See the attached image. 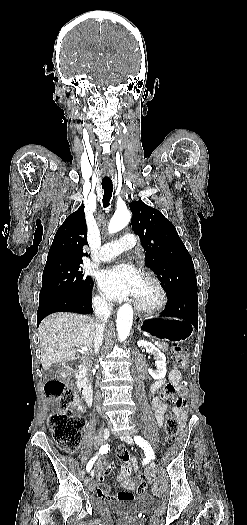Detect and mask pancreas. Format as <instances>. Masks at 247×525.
Returning <instances> with one entry per match:
<instances>
[{"mask_svg":"<svg viewBox=\"0 0 247 525\" xmlns=\"http://www.w3.org/2000/svg\"><path fill=\"white\" fill-rule=\"evenodd\" d=\"M160 349H161V352H166L167 351V343H162V345H159Z\"/></svg>","mask_w":247,"mask_h":525,"instance_id":"1","label":"pancreas"}]
</instances>
